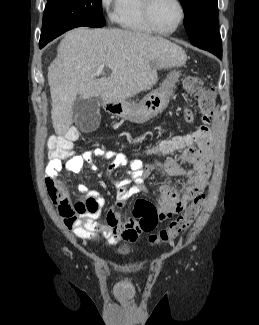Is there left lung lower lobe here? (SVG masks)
<instances>
[{
	"label": "left lung lower lobe",
	"instance_id": "obj_1",
	"mask_svg": "<svg viewBox=\"0 0 259 325\" xmlns=\"http://www.w3.org/2000/svg\"><path fill=\"white\" fill-rule=\"evenodd\" d=\"M219 56H220V58H222V51L220 52Z\"/></svg>",
	"mask_w": 259,
	"mask_h": 325
}]
</instances>
